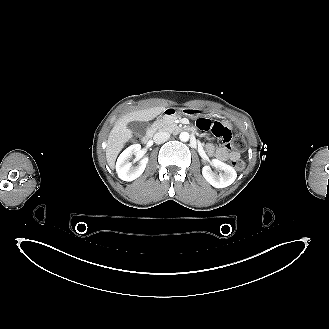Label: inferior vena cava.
<instances>
[{"instance_id":"obj_1","label":"inferior vena cava","mask_w":329,"mask_h":329,"mask_svg":"<svg viewBox=\"0 0 329 329\" xmlns=\"http://www.w3.org/2000/svg\"><path fill=\"white\" fill-rule=\"evenodd\" d=\"M169 137H170V134L168 132L159 131L154 135L153 140L156 144H160V143H164L165 141H167L169 139Z\"/></svg>"}]
</instances>
